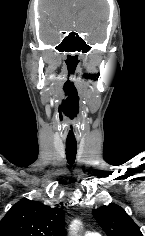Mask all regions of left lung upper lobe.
<instances>
[{
	"label": "left lung upper lobe",
	"mask_w": 145,
	"mask_h": 236,
	"mask_svg": "<svg viewBox=\"0 0 145 236\" xmlns=\"http://www.w3.org/2000/svg\"><path fill=\"white\" fill-rule=\"evenodd\" d=\"M93 215L107 236H143L136 223L116 204L94 209Z\"/></svg>",
	"instance_id": "1"
}]
</instances>
